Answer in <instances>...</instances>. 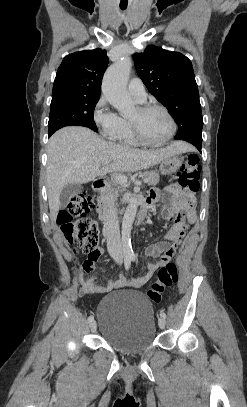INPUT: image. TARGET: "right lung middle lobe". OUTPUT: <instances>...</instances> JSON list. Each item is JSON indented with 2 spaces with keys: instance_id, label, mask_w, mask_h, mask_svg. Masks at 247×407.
Returning a JSON list of instances; mask_svg holds the SVG:
<instances>
[{
  "instance_id": "obj_1",
  "label": "right lung middle lobe",
  "mask_w": 247,
  "mask_h": 407,
  "mask_svg": "<svg viewBox=\"0 0 247 407\" xmlns=\"http://www.w3.org/2000/svg\"><path fill=\"white\" fill-rule=\"evenodd\" d=\"M99 96L59 95L52 97L48 122L49 133L58 129L78 125L97 132L94 109Z\"/></svg>"
}]
</instances>
